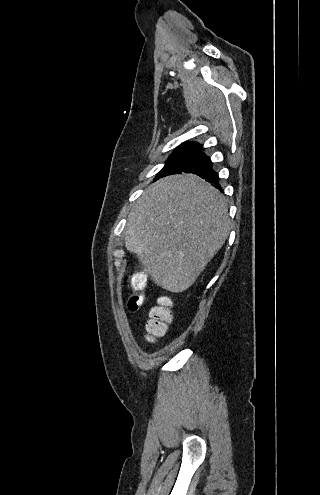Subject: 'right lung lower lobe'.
I'll return each instance as SVG.
<instances>
[{"label": "right lung lower lobe", "instance_id": "obj_1", "mask_svg": "<svg viewBox=\"0 0 320 495\" xmlns=\"http://www.w3.org/2000/svg\"><path fill=\"white\" fill-rule=\"evenodd\" d=\"M181 172L199 175L201 178L212 183L214 187L221 190L218 173L213 170L210 158L200 150L188 160L185 166L174 174H181Z\"/></svg>", "mask_w": 320, "mask_h": 495}]
</instances>
